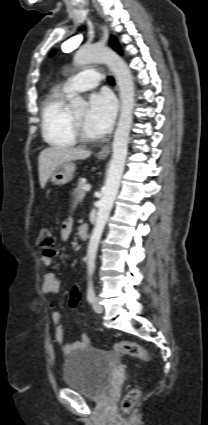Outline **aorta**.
Segmentation results:
<instances>
[{
  "mask_svg": "<svg viewBox=\"0 0 208 425\" xmlns=\"http://www.w3.org/2000/svg\"><path fill=\"white\" fill-rule=\"evenodd\" d=\"M94 62L107 64L115 75L121 100V111L115 130L112 148V158L109 165L107 179L103 188V195L99 201L98 213L93 232L87 249L88 276L91 277L95 269V259L100 239L110 211L116 198L121 177L124 171L128 151V138L133 121L135 88L133 77L128 65L113 50L93 45L80 48L74 56V64L83 66ZM74 109L82 108L85 101L77 96L71 100Z\"/></svg>",
  "mask_w": 208,
  "mask_h": 425,
  "instance_id": "1",
  "label": "aorta"
}]
</instances>
